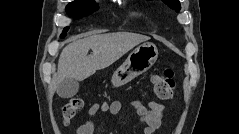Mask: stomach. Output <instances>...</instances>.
<instances>
[{
    "label": "stomach",
    "instance_id": "0dacf381",
    "mask_svg": "<svg viewBox=\"0 0 239 134\" xmlns=\"http://www.w3.org/2000/svg\"><path fill=\"white\" fill-rule=\"evenodd\" d=\"M158 58L157 47L150 42L138 46L114 72L111 82L120 86L149 70Z\"/></svg>",
    "mask_w": 239,
    "mask_h": 134
}]
</instances>
